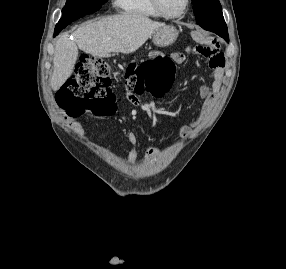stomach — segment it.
I'll use <instances>...</instances> for the list:
<instances>
[{
    "instance_id": "1",
    "label": "stomach",
    "mask_w": 286,
    "mask_h": 269,
    "mask_svg": "<svg viewBox=\"0 0 286 269\" xmlns=\"http://www.w3.org/2000/svg\"><path fill=\"white\" fill-rule=\"evenodd\" d=\"M178 37V31L174 26L164 25L153 35V43L158 47H166L172 45Z\"/></svg>"
}]
</instances>
